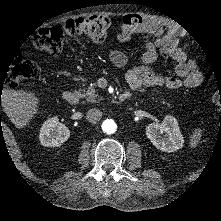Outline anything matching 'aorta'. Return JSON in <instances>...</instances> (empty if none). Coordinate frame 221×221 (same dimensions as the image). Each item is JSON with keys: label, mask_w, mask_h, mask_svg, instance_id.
Here are the masks:
<instances>
[{"label": "aorta", "mask_w": 221, "mask_h": 221, "mask_svg": "<svg viewBox=\"0 0 221 221\" xmlns=\"http://www.w3.org/2000/svg\"><path fill=\"white\" fill-rule=\"evenodd\" d=\"M102 130L106 134H113L117 130V124L112 119H106L102 123Z\"/></svg>", "instance_id": "762f6f07"}]
</instances>
